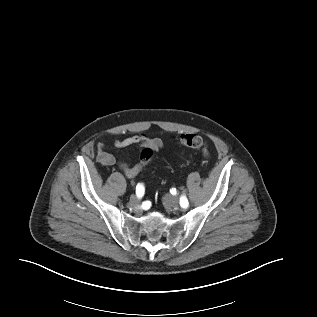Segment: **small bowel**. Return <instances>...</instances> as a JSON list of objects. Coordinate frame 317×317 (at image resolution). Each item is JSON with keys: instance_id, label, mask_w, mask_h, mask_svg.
Instances as JSON below:
<instances>
[{"instance_id": "c3829d8e", "label": "small bowel", "mask_w": 317, "mask_h": 317, "mask_svg": "<svg viewBox=\"0 0 317 317\" xmlns=\"http://www.w3.org/2000/svg\"><path fill=\"white\" fill-rule=\"evenodd\" d=\"M113 145L116 148H126L133 145L140 146H151L154 150H159L162 147V141L159 138H149L144 134L134 135L124 139H116L113 142ZM206 151V149H204ZM97 162L105 167L118 166L121 171L128 177L134 178L140 173L142 163H137L134 166H130L126 161L115 158L112 154L106 151V148L103 144L98 145L97 147Z\"/></svg>"}]
</instances>
